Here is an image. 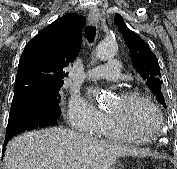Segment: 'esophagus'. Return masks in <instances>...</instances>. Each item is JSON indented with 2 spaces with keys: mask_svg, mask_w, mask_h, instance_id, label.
I'll use <instances>...</instances> for the list:
<instances>
[{
  "mask_svg": "<svg viewBox=\"0 0 177 169\" xmlns=\"http://www.w3.org/2000/svg\"><path fill=\"white\" fill-rule=\"evenodd\" d=\"M100 19V11L97 7H94L90 10L89 16H88V22L89 24H96Z\"/></svg>",
  "mask_w": 177,
  "mask_h": 169,
  "instance_id": "34e87169",
  "label": "esophagus"
}]
</instances>
